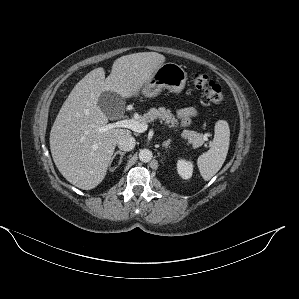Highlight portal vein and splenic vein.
<instances>
[{"mask_svg":"<svg viewBox=\"0 0 299 299\" xmlns=\"http://www.w3.org/2000/svg\"><path fill=\"white\" fill-rule=\"evenodd\" d=\"M113 128H128L134 132L142 133L148 129L147 123H140L136 120L125 119L114 123L107 124L99 129L100 132H105Z\"/></svg>","mask_w":299,"mask_h":299,"instance_id":"1","label":"portal vein and splenic vein"}]
</instances>
